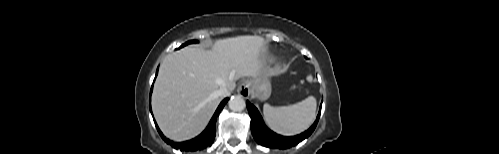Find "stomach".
I'll list each match as a JSON object with an SVG mask.
<instances>
[{
  "instance_id": "0dacf381",
  "label": "stomach",
  "mask_w": 499,
  "mask_h": 154,
  "mask_svg": "<svg viewBox=\"0 0 499 154\" xmlns=\"http://www.w3.org/2000/svg\"><path fill=\"white\" fill-rule=\"evenodd\" d=\"M271 74H272L271 70L267 69L262 76L254 78L249 81L251 93L256 98H259L260 100H266L270 97L271 83L269 78Z\"/></svg>"
}]
</instances>
